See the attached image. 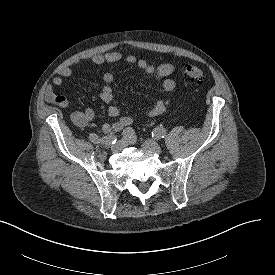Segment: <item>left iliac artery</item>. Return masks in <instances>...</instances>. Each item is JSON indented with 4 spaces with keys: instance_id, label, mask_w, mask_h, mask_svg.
<instances>
[{
    "instance_id": "left-iliac-artery-1",
    "label": "left iliac artery",
    "mask_w": 275,
    "mask_h": 275,
    "mask_svg": "<svg viewBox=\"0 0 275 275\" xmlns=\"http://www.w3.org/2000/svg\"><path fill=\"white\" fill-rule=\"evenodd\" d=\"M166 136V130L163 127H156L152 131V137L154 139L164 138Z\"/></svg>"
}]
</instances>
